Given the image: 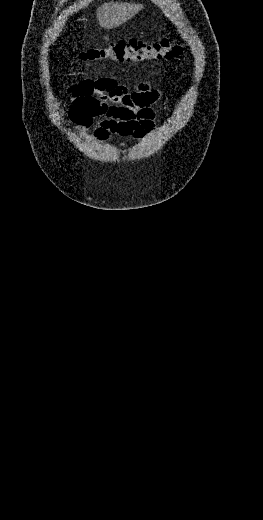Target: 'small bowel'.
Returning <instances> with one entry per match:
<instances>
[{
	"label": "small bowel",
	"instance_id": "1",
	"mask_svg": "<svg viewBox=\"0 0 263 520\" xmlns=\"http://www.w3.org/2000/svg\"><path fill=\"white\" fill-rule=\"evenodd\" d=\"M71 101L64 106L67 116L78 129L94 125V136L107 141L112 134L143 139L156 127L157 115L153 106L161 93L149 82H142L129 90L112 78L85 79L68 88Z\"/></svg>",
	"mask_w": 263,
	"mask_h": 520
}]
</instances>
